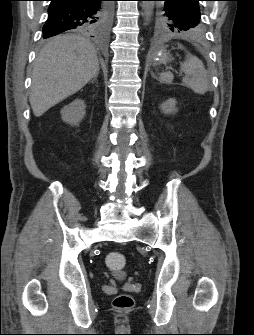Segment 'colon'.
Instances as JSON below:
<instances>
[{
  "instance_id": "obj_1",
  "label": "colon",
  "mask_w": 254,
  "mask_h": 335,
  "mask_svg": "<svg viewBox=\"0 0 254 335\" xmlns=\"http://www.w3.org/2000/svg\"><path fill=\"white\" fill-rule=\"evenodd\" d=\"M107 267L115 272H121L126 266V257L120 252H110L105 258ZM113 305L120 310H128L133 307L134 300L129 294H119L114 298Z\"/></svg>"
}]
</instances>
